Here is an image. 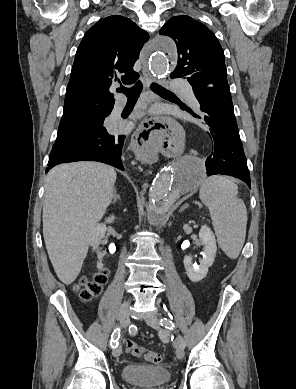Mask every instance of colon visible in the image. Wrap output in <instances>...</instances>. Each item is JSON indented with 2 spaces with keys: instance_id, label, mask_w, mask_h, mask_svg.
Returning a JSON list of instances; mask_svg holds the SVG:
<instances>
[{
  "instance_id": "5ec220e1",
  "label": "colon",
  "mask_w": 296,
  "mask_h": 389,
  "mask_svg": "<svg viewBox=\"0 0 296 389\" xmlns=\"http://www.w3.org/2000/svg\"><path fill=\"white\" fill-rule=\"evenodd\" d=\"M109 272L106 268L93 272L88 277H83L79 283L75 286L80 298L88 302L98 296L104 285L108 281ZM126 351L136 357H143L146 361L158 364L163 360V356L151 350H144L139 347L135 342L128 340L126 342Z\"/></svg>"
}]
</instances>
